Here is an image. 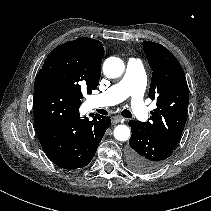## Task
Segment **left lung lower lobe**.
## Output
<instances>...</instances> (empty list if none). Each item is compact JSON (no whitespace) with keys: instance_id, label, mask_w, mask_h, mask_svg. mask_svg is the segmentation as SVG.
I'll use <instances>...</instances> for the list:
<instances>
[{"instance_id":"obj_1","label":"left lung lower lobe","mask_w":211,"mask_h":211,"mask_svg":"<svg viewBox=\"0 0 211 211\" xmlns=\"http://www.w3.org/2000/svg\"><path fill=\"white\" fill-rule=\"evenodd\" d=\"M132 135L129 139V167L138 173H151L160 169L172 155L174 148L153 135L140 121L130 120Z\"/></svg>"}]
</instances>
